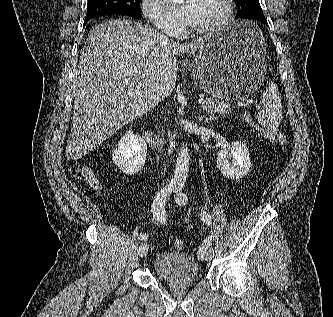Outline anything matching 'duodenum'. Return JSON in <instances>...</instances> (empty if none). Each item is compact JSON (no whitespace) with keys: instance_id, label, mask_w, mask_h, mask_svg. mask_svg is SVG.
<instances>
[{"instance_id":"obj_1","label":"duodenum","mask_w":333,"mask_h":317,"mask_svg":"<svg viewBox=\"0 0 333 317\" xmlns=\"http://www.w3.org/2000/svg\"><path fill=\"white\" fill-rule=\"evenodd\" d=\"M144 138L151 147L159 151L163 150L164 143L160 136L153 133H146L144 134Z\"/></svg>"}]
</instances>
